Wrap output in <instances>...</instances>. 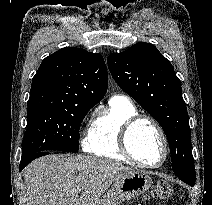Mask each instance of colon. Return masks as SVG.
I'll return each instance as SVG.
<instances>
[{
  "instance_id": "1",
  "label": "colon",
  "mask_w": 212,
  "mask_h": 205,
  "mask_svg": "<svg viewBox=\"0 0 212 205\" xmlns=\"http://www.w3.org/2000/svg\"><path fill=\"white\" fill-rule=\"evenodd\" d=\"M149 196L153 199L169 201L174 199L175 192L170 184L166 182H157L152 186Z\"/></svg>"
}]
</instances>
